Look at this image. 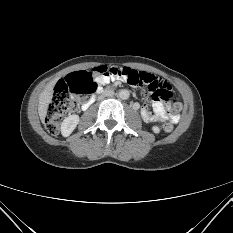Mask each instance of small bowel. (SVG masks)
<instances>
[{
	"label": "small bowel",
	"instance_id": "small-bowel-1",
	"mask_svg": "<svg viewBox=\"0 0 233 233\" xmlns=\"http://www.w3.org/2000/svg\"><path fill=\"white\" fill-rule=\"evenodd\" d=\"M148 74V73H147ZM154 78H156L152 74H148ZM157 79V78H156ZM116 81L118 83H125V78H120L119 76H97L95 81L99 84H103L107 81ZM169 85V84H168ZM92 99L84 102L82 104V108L85 109L89 106ZM141 117L145 122H157V121H171L172 123H177L179 121V115L171 114L168 112L165 104L163 103H155L153 109L151 110L147 105H144L140 111Z\"/></svg>",
	"mask_w": 233,
	"mask_h": 233
}]
</instances>
